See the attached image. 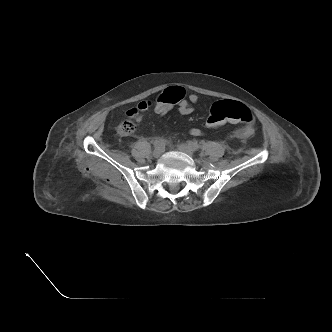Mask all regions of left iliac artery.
I'll return each mask as SVG.
<instances>
[{"label":"left iliac artery","instance_id":"44dca946","mask_svg":"<svg viewBox=\"0 0 332 332\" xmlns=\"http://www.w3.org/2000/svg\"><path fill=\"white\" fill-rule=\"evenodd\" d=\"M188 144L194 149V151L199 149V145L196 142L189 141Z\"/></svg>","mask_w":332,"mask_h":332}]
</instances>
